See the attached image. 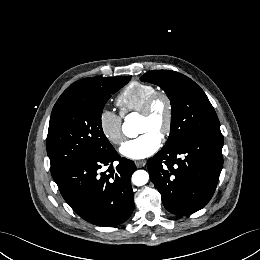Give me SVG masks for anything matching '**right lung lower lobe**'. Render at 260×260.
Instances as JSON below:
<instances>
[{"label":"right lung lower lobe","instance_id":"obj_1","mask_svg":"<svg viewBox=\"0 0 260 260\" xmlns=\"http://www.w3.org/2000/svg\"><path fill=\"white\" fill-rule=\"evenodd\" d=\"M116 160L119 164L114 169ZM106 165L108 173H100ZM135 169L133 161L121 158L113 148L103 156L69 163L53 179L80 217L97 226L111 227L125 222L133 212L131 176Z\"/></svg>","mask_w":260,"mask_h":260}]
</instances>
